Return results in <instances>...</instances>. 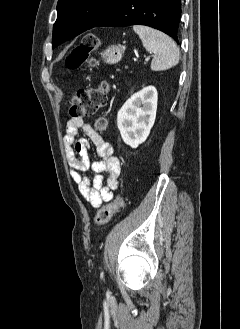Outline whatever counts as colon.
Listing matches in <instances>:
<instances>
[{
    "label": "colon",
    "mask_w": 240,
    "mask_h": 329,
    "mask_svg": "<svg viewBox=\"0 0 240 329\" xmlns=\"http://www.w3.org/2000/svg\"><path fill=\"white\" fill-rule=\"evenodd\" d=\"M98 40L95 35H86L81 43L76 46L66 58V67L71 71L80 69L89 58V55L97 48ZM90 65L95 61L90 60ZM107 84L101 83L97 86L78 90L71 98L70 114L74 118H84L94 115L101 107L106 104ZM106 126V120L100 118L97 121L98 129L102 130ZM124 207V200L116 196L105 206L101 207L94 216V223L103 225L107 223L112 216Z\"/></svg>",
    "instance_id": "1"
}]
</instances>
